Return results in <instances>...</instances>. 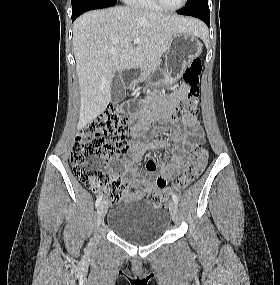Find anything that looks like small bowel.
Here are the masks:
<instances>
[{
	"label": "small bowel",
	"mask_w": 280,
	"mask_h": 285,
	"mask_svg": "<svg viewBox=\"0 0 280 285\" xmlns=\"http://www.w3.org/2000/svg\"><path fill=\"white\" fill-rule=\"evenodd\" d=\"M188 86L181 84L179 88L173 92L167 99L163 108L156 114V118H160L172 113L178 104L186 97ZM185 126L184 132H175L173 139L180 144L179 154H174L168 163H161L158 166L156 160L150 158L146 161V171L150 174H155L154 180L148 177L139 179L136 164L139 163L143 155L152 149L163 148L173 151V146L167 141L151 140L147 142L136 141L134 148L129 156H124L117 160L119 166L127 177L115 176L122 184L121 198L124 199H139L148 196L153 192L164 189L167 182L176 178L183 172L184 159L188 155L190 149L195 143L203 140L202 127L195 115L184 116L182 118ZM150 126V120L140 115L137 117L136 123L131 127L130 134L134 138H140L145 135ZM134 189V192L130 191Z\"/></svg>",
	"instance_id": "small-bowel-1"
}]
</instances>
